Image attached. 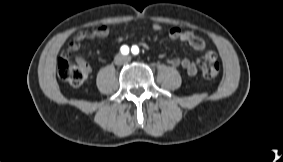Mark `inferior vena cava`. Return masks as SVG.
Returning <instances> with one entry per match:
<instances>
[{
	"instance_id": "1",
	"label": "inferior vena cava",
	"mask_w": 283,
	"mask_h": 162,
	"mask_svg": "<svg viewBox=\"0 0 283 162\" xmlns=\"http://www.w3.org/2000/svg\"><path fill=\"white\" fill-rule=\"evenodd\" d=\"M127 61V57L121 54L115 56L114 62L116 65H121Z\"/></svg>"
}]
</instances>
